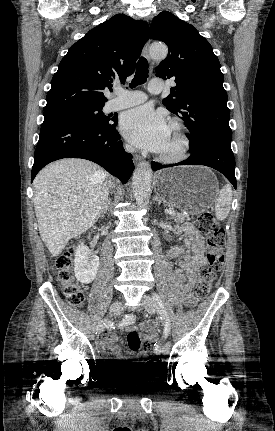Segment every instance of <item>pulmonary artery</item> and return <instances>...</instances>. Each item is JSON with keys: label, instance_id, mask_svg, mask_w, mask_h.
Segmentation results:
<instances>
[{"label": "pulmonary artery", "instance_id": "pulmonary-artery-1", "mask_svg": "<svg viewBox=\"0 0 275 431\" xmlns=\"http://www.w3.org/2000/svg\"><path fill=\"white\" fill-rule=\"evenodd\" d=\"M162 82L158 79L150 81L148 91L152 94H158L162 91ZM116 97L110 100L107 104V110L115 111L128 108L144 102L147 99L145 93L141 91H127L121 88L116 89Z\"/></svg>", "mask_w": 275, "mask_h": 431}]
</instances>
